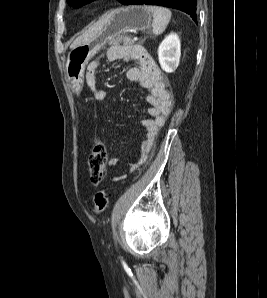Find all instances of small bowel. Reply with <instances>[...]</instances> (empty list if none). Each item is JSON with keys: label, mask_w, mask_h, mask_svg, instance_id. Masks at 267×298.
<instances>
[{"label": "small bowel", "mask_w": 267, "mask_h": 298, "mask_svg": "<svg viewBox=\"0 0 267 298\" xmlns=\"http://www.w3.org/2000/svg\"><path fill=\"white\" fill-rule=\"evenodd\" d=\"M107 59L110 62L117 61H136L139 66L131 67L126 71V77L129 81L139 84L141 87L150 91L147 96L149 104L148 117L143 120L145 129V139L143 140L138 163L129 165V170L134 169L138 164L145 163L151 151L154 139L163 126L166 117L170 114L173 99L171 93L167 89V79L162 74L159 66L152 56L140 45H114L107 51ZM99 61H92L86 70L85 80L96 101H102L107 97V92L98 88L97 70ZM118 159L109 160L110 166L116 165ZM125 175L118 176V180H122Z\"/></svg>", "instance_id": "small-bowel-1"}]
</instances>
